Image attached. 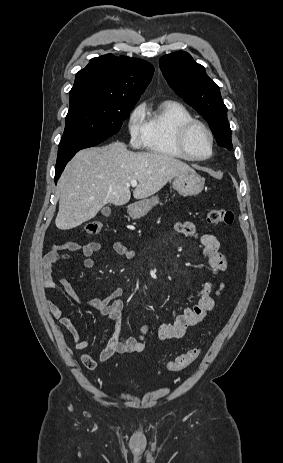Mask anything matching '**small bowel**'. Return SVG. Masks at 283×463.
Masks as SVG:
<instances>
[{"label": "small bowel", "mask_w": 283, "mask_h": 463, "mask_svg": "<svg viewBox=\"0 0 283 463\" xmlns=\"http://www.w3.org/2000/svg\"><path fill=\"white\" fill-rule=\"evenodd\" d=\"M175 229L178 233L185 236L199 238L203 255L207 265L212 271L213 279L204 285L196 305L184 309L176 317L174 323H161L158 325L156 335L161 341L181 338L185 335L189 327L199 325L213 311L215 297L218 296L225 287V282L220 279V276L227 270V258L220 250L218 239L210 233L200 232L192 222H179L175 225ZM112 248L115 253L124 256L128 260L135 259V253L129 251L120 240L115 241ZM101 249L102 246L98 242H89L84 245L74 241L56 243L52 245L50 251L45 255L41 268V274L43 276L42 286L45 290H52L60 286L77 303L90 307L98 311L101 315L109 317L114 324L113 335L110 337L105 347L102 348L96 356H93L86 351L89 347V341L79 337L71 318L63 315L61 309L50 299L45 300L46 307L50 314L63 327L69 330L75 340L76 348L83 351L80 359L88 370H94L97 361H108L115 354L126 355L144 351V338L150 330L149 325H144L138 337H124L121 335L122 313L124 308V303L120 299L123 295V289L121 287L114 288L113 291L104 298L82 300L79 298L68 279L62 278L58 282L54 280L52 276V266L59 261L69 259L68 252L80 253L84 257L82 261L83 266L86 269H92L96 266V261L92 256L101 251Z\"/></svg>", "instance_id": "1"}]
</instances>
